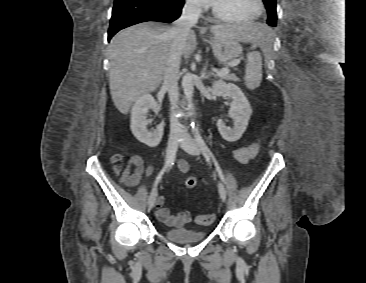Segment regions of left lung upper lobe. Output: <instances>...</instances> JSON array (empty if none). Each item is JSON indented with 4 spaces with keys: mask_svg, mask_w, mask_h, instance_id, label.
Segmentation results:
<instances>
[{
    "mask_svg": "<svg viewBox=\"0 0 366 283\" xmlns=\"http://www.w3.org/2000/svg\"><path fill=\"white\" fill-rule=\"evenodd\" d=\"M267 13H268V20L267 23L270 26H276L277 24V13H276V0H263Z\"/></svg>",
    "mask_w": 366,
    "mask_h": 283,
    "instance_id": "obj_1",
    "label": "left lung upper lobe"
}]
</instances>
